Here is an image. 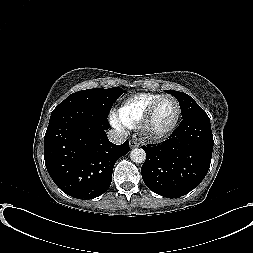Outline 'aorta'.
I'll return each mask as SVG.
<instances>
[{"mask_svg":"<svg viewBox=\"0 0 253 253\" xmlns=\"http://www.w3.org/2000/svg\"><path fill=\"white\" fill-rule=\"evenodd\" d=\"M130 159L135 163H143L146 159V153L141 148L132 149L130 152Z\"/></svg>","mask_w":253,"mask_h":253,"instance_id":"1","label":"aorta"}]
</instances>
